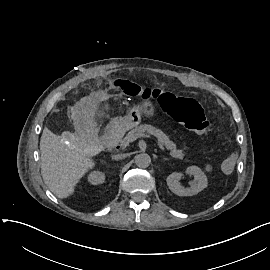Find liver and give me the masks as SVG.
<instances>
[{"instance_id":"liver-1","label":"liver","mask_w":270,"mask_h":270,"mask_svg":"<svg viewBox=\"0 0 270 270\" xmlns=\"http://www.w3.org/2000/svg\"><path fill=\"white\" fill-rule=\"evenodd\" d=\"M97 149L83 143L67 144L44 127L40 139L41 173L49 190L59 199L75 194L77 184L95 167Z\"/></svg>"}]
</instances>
